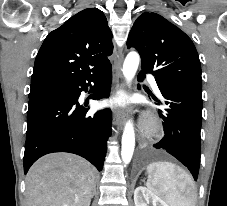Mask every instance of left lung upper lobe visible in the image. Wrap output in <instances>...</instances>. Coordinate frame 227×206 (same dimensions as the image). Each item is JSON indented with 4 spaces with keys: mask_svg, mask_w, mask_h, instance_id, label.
Wrapping results in <instances>:
<instances>
[{
    "mask_svg": "<svg viewBox=\"0 0 227 206\" xmlns=\"http://www.w3.org/2000/svg\"><path fill=\"white\" fill-rule=\"evenodd\" d=\"M142 61V71L155 80L202 90L201 66L191 39L156 13L145 12L135 21L127 40Z\"/></svg>",
    "mask_w": 227,
    "mask_h": 206,
    "instance_id": "5c2ea615",
    "label": "left lung upper lobe"
}]
</instances>
